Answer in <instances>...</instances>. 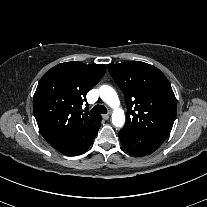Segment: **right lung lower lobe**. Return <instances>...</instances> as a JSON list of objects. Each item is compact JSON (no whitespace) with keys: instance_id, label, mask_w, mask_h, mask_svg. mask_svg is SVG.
<instances>
[{"instance_id":"right-lung-lower-lobe-1","label":"right lung lower lobe","mask_w":207,"mask_h":207,"mask_svg":"<svg viewBox=\"0 0 207 207\" xmlns=\"http://www.w3.org/2000/svg\"><path fill=\"white\" fill-rule=\"evenodd\" d=\"M101 119L93 125L74 133L66 142L55 147L59 152L68 156L80 155L85 152L92 144L97 135Z\"/></svg>"}]
</instances>
